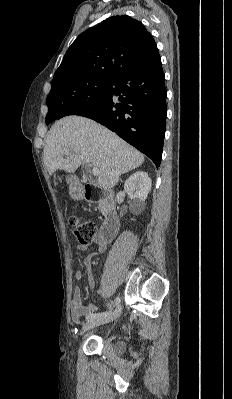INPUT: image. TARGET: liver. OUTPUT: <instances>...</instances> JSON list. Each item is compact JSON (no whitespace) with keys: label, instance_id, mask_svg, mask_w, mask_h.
<instances>
[{"label":"liver","instance_id":"obj_1","mask_svg":"<svg viewBox=\"0 0 232 399\" xmlns=\"http://www.w3.org/2000/svg\"><path fill=\"white\" fill-rule=\"evenodd\" d=\"M48 134L43 160L50 176L56 170L74 174L82 164L78 156H83L98 168L99 188L111 190L121 174L139 168L144 162V156L138 150L88 118L67 116L55 122ZM64 148L70 150L67 158H63Z\"/></svg>","mask_w":232,"mask_h":399}]
</instances>
